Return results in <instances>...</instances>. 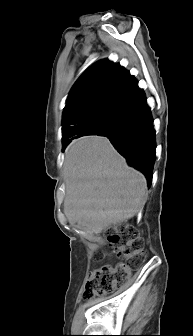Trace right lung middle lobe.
Here are the masks:
<instances>
[{
  "label": "right lung middle lobe",
  "instance_id": "1",
  "mask_svg": "<svg viewBox=\"0 0 193 336\" xmlns=\"http://www.w3.org/2000/svg\"><path fill=\"white\" fill-rule=\"evenodd\" d=\"M112 110H103L92 117H84L81 120L75 122L71 127L73 133H84V135H96L105 125Z\"/></svg>",
  "mask_w": 193,
  "mask_h": 336
}]
</instances>
